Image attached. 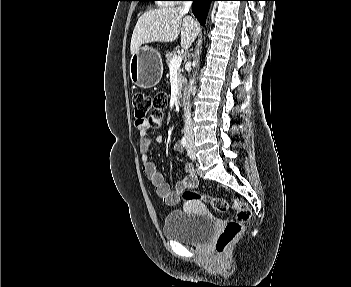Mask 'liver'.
Wrapping results in <instances>:
<instances>
[{"mask_svg":"<svg viewBox=\"0 0 351 287\" xmlns=\"http://www.w3.org/2000/svg\"><path fill=\"white\" fill-rule=\"evenodd\" d=\"M200 27L197 21L187 15L183 7H166L149 10L138 19L133 30L130 51L138 52L140 46L152 42H173L181 34V46L188 49Z\"/></svg>","mask_w":351,"mask_h":287,"instance_id":"liver-1","label":"liver"}]
</instances>
